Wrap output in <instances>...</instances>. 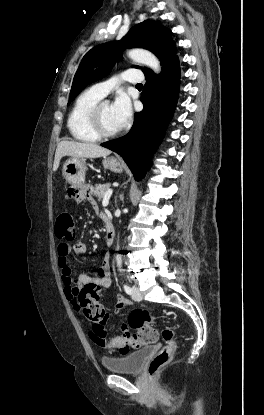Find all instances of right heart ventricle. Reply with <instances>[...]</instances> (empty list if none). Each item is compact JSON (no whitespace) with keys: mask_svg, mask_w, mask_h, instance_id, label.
I'll list each match as a JSON object with an SVG mask.
<instances>
[{"mask_svg":"<svg viewBox=\"0 0 264 415\" xmlns=\"http://www.w3.org/2000/svg\"><path fill=\"white\" fill-rule=\"evenodd\" d=\"M100 100L101 97L91 90L84 91L75 100L67 120L68 130L75 140L85 143L99 140L89 127L87 115L89 110Z\"/></svg>","mask_w":264,"mask_h":415,"instance_id":"1","label":"right heart ventricle"}]
</instances>
